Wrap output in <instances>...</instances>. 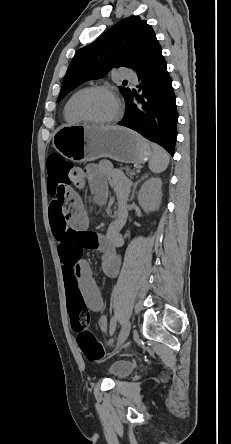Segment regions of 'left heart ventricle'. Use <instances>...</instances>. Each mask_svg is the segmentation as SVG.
I'll return each mask as SVG.
<instances>
[{"mask_svg": "<svg viewBox=\"0 0 231 444\" xmlns=\"http://www.w3.org/2000/svg\"><path fill=\"white\" fill-rule=\"evenodd\" d=\"M83 109L90 118L102 121L115 115L117 105L114 98L108 93L95 91L84 99Z\"/></svg>", "mask_w": 231, "mask_h": 444, "instance_id": "1", "label": "left heart ventricle"}]
</instances>
